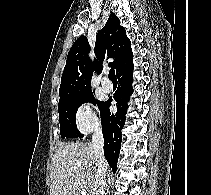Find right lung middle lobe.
I'll return each mask as SVG.
<instances>
[{
	"mask_svg": "<svg viewBox=\"0 0 211 195\" xmlns=\"http://www.w3.org/2000/svg\"><path fill=\"white\" fill-rule=\"evenodd\" d=\"M85 102L98 105L101 110L104 102L95 100L93 93L86 94L79 98L59 103V121H60V134L62 138H77L83 137L76 127V112L77 109Z\"/></svg>",
	"mask_w": 211,
	"mask_h": 195,
	"instance_id": "1",
	"label": "right lung middle lobe"
}]
</instances>
